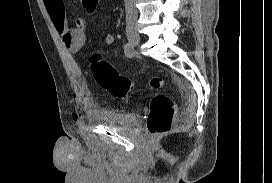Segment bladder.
<instances>
[{"mask_svg": "<svg viewBox=\"0 0 272 183\" xmlns=\"http://www.w3.org/2000/svg\"><path fill=\"white\" fill-rule=\"evenodd\" d=\"M138 120L139 116L134 112H110L106 113L102 119L106 125L125 130L134 129Z\"/></svg>", "mask_w": 272, "mask_h": 183, "instance_id": "obj_1", "label": "bladder"}]
</instances>
